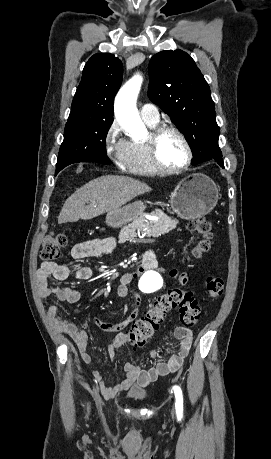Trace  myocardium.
Returning <instances> with one entry per match:
<instances>
[{"label":"myocardium","mask_w":271,"mask_h":459,"mask_svg":"<svg viewBox=\"0 0 271 459\" xmlns=\"http://www.w3.org/2000/svg\"><path fill=\"white\" fill-rule=\"evenodd\" d=\"M168 132H174L178 134L182 140L184 141L187 151L188 157L183 164L177 166L167 165L161 158L160 150H159V143L161 138ZM147 144L149 147V152L152 158L154 165L157 167L158 170L165 172V173H178L186 170L189 168L193 161H194V149L191 144L190 139L186 135V133L176 125H168L164 124L161 126L156 127L150 134L149 138L147 139Z\"/></svg>","instance_id":"f54148a6"}]
</instances>
